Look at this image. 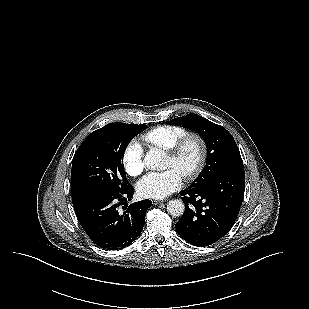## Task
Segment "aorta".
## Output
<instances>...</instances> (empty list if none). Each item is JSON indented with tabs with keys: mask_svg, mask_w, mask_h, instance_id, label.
Returning a JSON list of instances; mask_svg holds the SVG:
<instances>
[{
	"mask_svg": "<svg viewBox=\"0 0 309 309\" xmlns=\"http://www.w3.org/2000/svg\"><path fill=\"white\" fill-rule=\"evenodd\" d=\"M165 154L160 149H153L147 152L144 158V164L151 170H159L162 168ZM167 211L173 217L182 216L185 211L184 203L179 199H172L167 204Z\"/></svg>",
	"mask_w": 309,
	"mask_h": 309,
	"instance_id": "1",
	"label": "aorta"
}]
</instances>
